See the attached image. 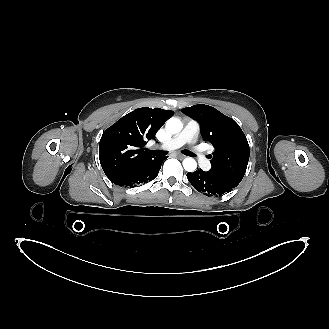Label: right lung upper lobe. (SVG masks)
Listing matches in <instances>:
<instances>
[{"label": "right lung upper lobe", "instance_id": "cb5924a9", "mask_svg": "<svg viewBox=\"0 0 329 329\" xmlns=\"http://www.w3.org/2000/svg\"><path fill=\"white\" fill-rule=\"evenodd\" d=\"M173 111L160 108H138L120 118L102 135L99 160L106 176L111 180L124 176L145 162L154 159L147 155V140L155 139Z\"/></svg>", "mask_w": 329, "mask_h": 329}]
</instances>
